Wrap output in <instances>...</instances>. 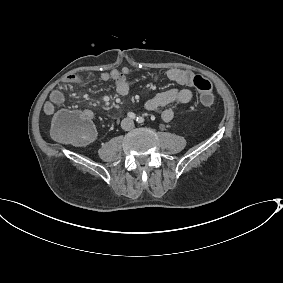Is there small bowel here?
Wrapping results in <instances>:
<instances>
[{"label": "small bowel", "instance_id": "1", "mask_svg": "<svg viewBox=\"0 0 283 283\" xmlns=\"http://www.w3.org/2000/svg\"><path fill=\"white\" fill-rule=\"evenodd\" d=\"M167 79L182 86V88H172L163 92H159L149 98L145 102V108L148 111L157 112L161 119L165 122H170L175 116V108L178 105H184L191 101L192 91L194 86V74L187 70L177 68L168 69L163 73ZM162 73L156 72L153 75L154 79H158ZM133 76V70L129 67L114 69L110 72H103L99 79L102 82H112L116 92L121 96H126L130 89V78ZM65 82L70 85L83 86L86 83V77L83 75H71L65 79ZM65 100L62 91L55 89L50 93L49 100L44 105V112L51 116L54 114L55 107L63 104ZM172 105V106H170ZM84 114L89 118L92 117L90 110H85Z\"/></svg>", "mask_w": 283, "mask_h": 283}]
</instances>
